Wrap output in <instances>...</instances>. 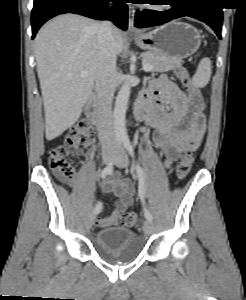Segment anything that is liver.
<instances>
[{"mask_svg": "<svg viewBox=\"0 0 246 300\" xmlns=\"http://www.w3.org/2000/svg\"><path fill=\"white\" fill-rule=\"evenodd\" d=\"M98 23L63 14L45 25L35 38V59L45 111L47 140L59 137L80 118L96 80L99 64ZM116 54L124 48L114 27ZM83 71L87 75L82 76Z\"/></svg>", "mask_w": 246, "mask_h": 300, "instance_id": "6515ba94", "label": "liver"}]
</instances>
